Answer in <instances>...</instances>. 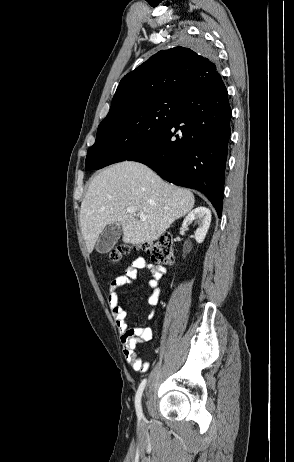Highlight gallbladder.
Listing matches in <instances>:
<instances>
[{
	"label": "gallbladder",
	"mask_w": 294,
	"mask_h": 462,
	"mask_svg": "<svg viewBox=\"0 0 294 462\" xmlns=\"http://www.w3.org/2000/svg\"><path fill=\"white\" fill-rule=\"evenodd\" d=\"M121 236V226L118 223L112 224L105 228L100 234L96 244V251L100 254H106L112 250Z\"/></svg>",
	"instance_id": "obj_1"
}]
</instances>
